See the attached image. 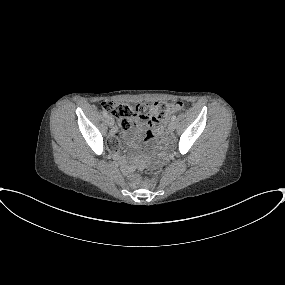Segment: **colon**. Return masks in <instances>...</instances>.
Listing matches in <instances>:
<instances>
[{"label": "colon", "instance_id": "obj_1", "mask_svg": "<svg viewBox=\"0 0 285 285\" xmlns=\"http://www.w3.org/2000/svg\"><path fill=\"white\" fill-rule=\"evenodd\" d=\"M104 108L118 122L122 130H130L135 119L161 122L175 111L182 110L183 102L142 103L131 106L127 103L104 102Z\"/></svg>", "mask_w": 285, "mask_h": 285}]
</instances>
